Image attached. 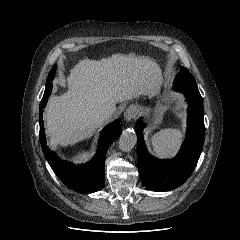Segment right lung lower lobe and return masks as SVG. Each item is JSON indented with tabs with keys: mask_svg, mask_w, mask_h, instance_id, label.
Segmentation results:
<instances>
[{
	"mask_svg": "<svg viewBox=\"0 0 240 240\" xmlns=\"http://www.w3.org/2000/svg\"><path fill=\"white\" fill-rule=\"evenodd\" d=\"M46 104L47 101L41 103L39 108V138L44 156L51 168L63 184L71 190L80 193H92L101 190L105 185L104 164L108 147L122 133V127L119 125V121L116 120L103 129L94 158L90 162L76 166L72 163L62 161L46 144L42 116V110Z\"/></svg>",
	"mask_w": 240,
	"mask_h": 240,
	"instance_id": "obj_1",
	"label": "right lung lower lobe"
}]
</instances>
